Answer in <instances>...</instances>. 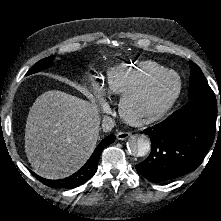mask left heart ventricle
Segmentation results:
<instances>
[{
  "mask_svg": "<svg viewBox=\"0 0 221 221\" xmlns=\"http://www.w3.org/2000/svg\"><path fill=\"white\" fill-rule=\"evenodd\" d=\"M177 86L175 76H169L156 84L152 90L138 101L136 107L139 110H149L163 104Z\"/></svg>",
  "mask_w": 221,
  "mask_h": 221,
  "instance_id": "obj_1",
  "label": "left heart ventricle"
}]
</instances>
